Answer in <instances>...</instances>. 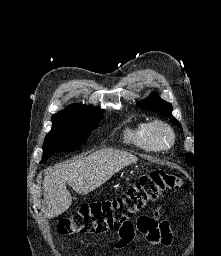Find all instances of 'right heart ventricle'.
Segmentation results:
<instances>
[{
  "label": "right heart ventricle",
  "instance_id": "obj_1",
  "mask_svg": "<svg viewBox=\"0 0 221 256\" xmlns=\"http://www.w3.org/2000/svg\"><path fill=\"white\" fill-rule=\"evenodd\" d=\"M123 142L147 152L156 150L148 137V123L146 122H137L125 128Z\"/></svg>",
  "mask_w": 221,
  "mask_h": 256
}]
</instances>
